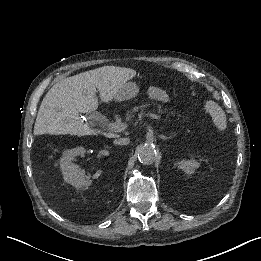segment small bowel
<instances>
[{"label":"small bowel","instance_id":"small-bowel-1","mask_svg":"<svg viewBox=\"0 0 261 261\" xmlns=\"http://www.w3.org/2000/svg\"><path fill=\"white\" fill-rule=\"evenodd\" d=\"M147 94L154 100L160 101V102H166L168 101V94L165 90H163L160 87L157 86H150L147 89Z\"/></svg>","mask_w":261,"mask_h":261}]
</instances>
